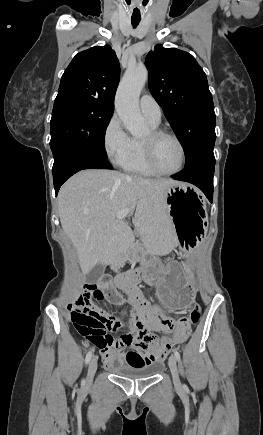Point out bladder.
Segmentation results:
<instances>
[{"instance_id":"obj_1","label":"bladder","mask_w":263,"mask_h":435,"mask_svg":"<svg viewBox=\"0 0 263 435\" xmlns=\"http://www.w3.org/2000/svg\"><path fill=\"white\" fill-rule=\"evenodd\" d=\"M163 368V364L159 362L148 363L143 366H119L113 371L121 377L129 379H144L157 375Z\"/></svg>"}]
</instances>
